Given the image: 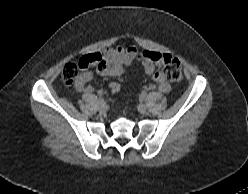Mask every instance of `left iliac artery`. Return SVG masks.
I'll use <instances>...</instances> for the list:
<instances>
[{
	"instance_id": "44dca946",
	"label": "left iliac artery",
	"mask_w": 248,
	"mask_h": 194,
	"mask_svg": "<svg viewBox=\"0 0 248 194\" xmlns=\"http://www.w3.org/2000/svg\"><path fill=\"white\" fill-rule=\"evenodd\" d=\"M140 97H141V99H145L147 97V94L146 93H142Z\"/></svg>"
}]
</instances>
